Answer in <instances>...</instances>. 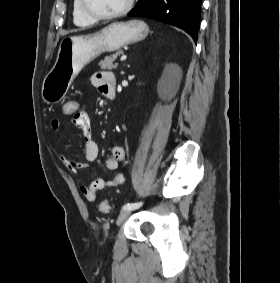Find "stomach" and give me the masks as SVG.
Masks as SVG:
<instances>
[{"mask_svg":"<svg viewBox=\"0 0 280 283\" xmlns=\"http://www.w3.org/2000/svg\"><path fill=\"white\" fill-rule=\"evenodd\" d=\"M148 25L142 20L114 22L90 34L62 39L54 66L44 78L41 95L47 104L58 103L69 86L89 63L101 54L146 38Z\"/></svg>","mask_w":280,"mask_h":283,"instance_id":"0dacf381","label":"stomach"}]
</instances>
